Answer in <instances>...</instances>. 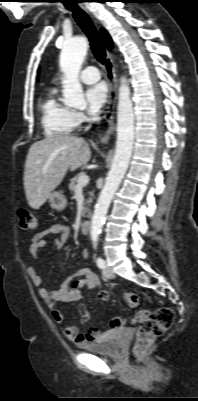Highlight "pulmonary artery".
<instances>
[{"instance_id":"obj_1","label":"pulmonary artery","mask_w":198,"mask_h":401,"mask_svg":"<svg viewBox=\"0 0 198 401\" xmlns=\"http://www.w3.org/2000/svg\"><path fill=\"white\" fill-rule=\"evenodd\" d=\"M100 77V72L93 66L85 68L80 74L81 81L86 84H93L97 82Z\"/></svg>"}]
</instances>
